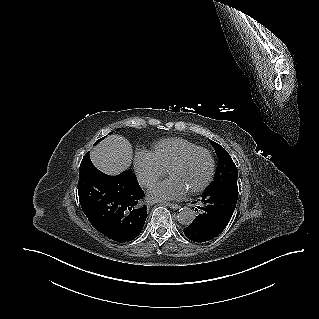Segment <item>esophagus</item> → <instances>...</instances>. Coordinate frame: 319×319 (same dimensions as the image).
I'll list each match as a JSON object with an SVG mask.
<instances>
[{
  "label": "esophagus",
  "mask_w": 319,
  "mask_h": 319,
  "mask_svg": "<svg viewBox=\"0 0 319 319\" xmlns=\"http://www.w3.org/2000/svg\"><path fill=\"white\" fill-rule=\"evenodd\" d=\"M166 206L174 210H178L180 208V205L174 203H166Z\"/></svg>",
  "instance_id": "34e87169"
}]
</instances>
